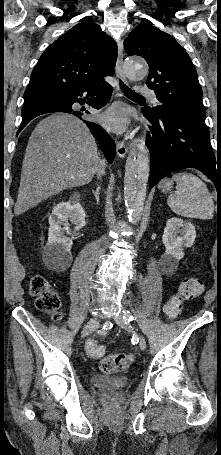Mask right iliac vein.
Here are the masks:
<instances>
[{
	"label": "right iliac vein",
	"mask_w": 221,
	"mask_h": 455,
	"mask_svg": "<svg viewBox=\"0 0 221 455\" xmlns=\"http://www.w3.org/2000/svg\"><path fill=\"white\" fill-rule=\"evenodd\" d=\"M98 326H99L98 319H97L96 317H92V318L87 322V324L85 325V327L83 328L82 333H81V336H82V337H85V336L89 335V334L92 333L95 329H97Z\"/></svg>",
	"instance_id": "obj_1"
}]
</instances>
